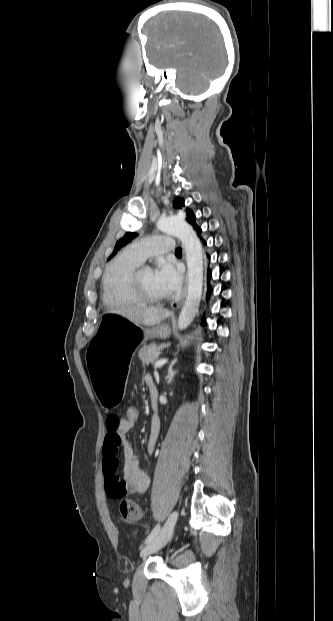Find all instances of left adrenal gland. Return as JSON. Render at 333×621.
Instances as JSON below:
<instances>
[{
  "label": "left adrenal gland",
  "instance_id": "left-adrenal-gland-1",
  "mask_svg": "<svg viewBox=\"0 0 333 621\" xmlns=\"http://www.w3.org/2000/svg\"><path fill=\"white\" fill-rule=\"evenodd\" d=\"M177 359L173 360L168 368V374L166 376L167 379V384H170L175 376V374H177L178 371H175L173 369L175 363H176Z\"/></svg>",
  "mask_w": 333,
  "mask_h": 621
}]
</instances>
